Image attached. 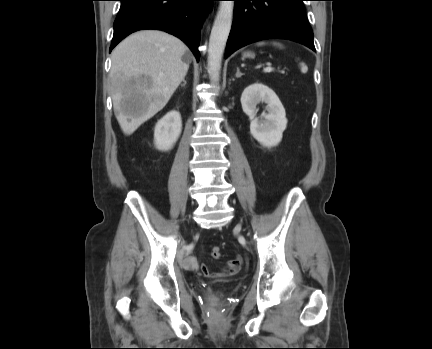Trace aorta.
Here are the masks:
<instances>
[{"label":"aorta","instance_id":"obj_1","mask_svg":"<svg viewBox=\"0 0 432 349\" xmlns=\"http://www.w3.org/2000/svg\"><path fill=\"white\" fill-rule=\"evenodd\" d=\"M233 9V1H220L209 38L208 71L212 83L216 85L219 82L222 56L231 30Z\"/></svg>","mask_w":432,"mask_h":349}]
</instances>
